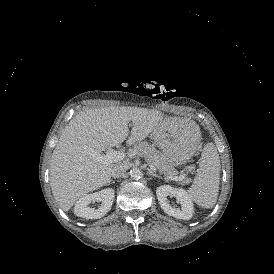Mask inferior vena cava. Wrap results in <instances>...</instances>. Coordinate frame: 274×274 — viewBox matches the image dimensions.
Returning a JSON list of instances; mask_svg holds the SVG:
<instances>
[{"mask_svg":"<svg viewBox=\"0 0 274 274\" xmlns=\"http://www.w3.org/2000/svg\"><path fill=\"white\" fill-rule=\"evenodd\" d=\"M127 170V167L123 164H117L113 169H112V172H111V176L113 178H120L122 177L125 172Z\"/></svg>","mask_w":274,"mask_h":274,"instance_id":"obj_1","label":"inferior vena cava"}]
</instances>
